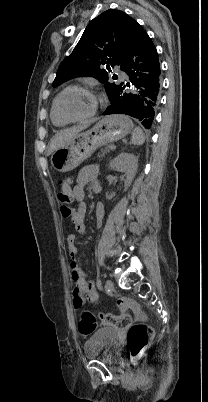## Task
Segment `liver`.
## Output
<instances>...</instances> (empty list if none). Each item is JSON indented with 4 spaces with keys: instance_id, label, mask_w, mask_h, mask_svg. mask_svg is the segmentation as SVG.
<instances>
[{
    "instance_id": "liver-1",
    "label": "liver",
    "mask_w": 208,
    "mask_h": 402,
    "mask_svg": "<svg viewBox=\"0 0 208 402\" xmlns=\"http://www.w3.org/2000/svg\"><path fill=\"white\" fill-rule=\"evenodd\" d=\"M93 122H96V120H93ZM93 122L82 124V126H75V128H68V130H61V132L55 134L49 144L48 156L52 154V152H55V150H58V148H61V146H64V144H67V142H72L74 138H77L79 132L86 130Z\"/></svg>"
}]
</instances>
